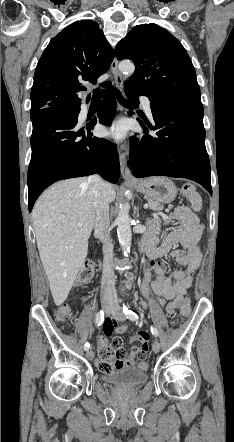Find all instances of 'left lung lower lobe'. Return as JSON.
<instances>
[{"label": "left lung lower lobe", "instance_id": "obj_1", "mask_svg": "<svg viewBox=\"0 0 234 442\" xmlns=\"http://www.w3.org/2000/svg\"><path fill=\"white\" fill-rule=\"evenodd\" d=\"M127 98L138 107L145 93L125 86ZM150 100L156 136L133 134L128 165L137 178L148 176L184 177L194 180L212 194L210 163L205 147L201 99L172 98ZM129 112V115H132ZM145 131L147 127L140 121Z\"/></svg>", "mask_w": 234, "mask_h": 442}]
</instances>
